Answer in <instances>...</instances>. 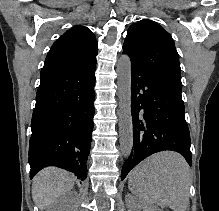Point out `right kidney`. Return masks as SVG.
I'll list each match as a JSON object with an SVG mask.
<instances>
[{
  "label": "right kidney",
  "instance_id": "ca27d5eb",
  "mask_svg": "<svg viewBox=\"0 0 219 211\" xmlns=\"http://www.w3.org/2000/svg\"><path fill=\"white\" fill-rule=\"evenodd\" d=\"M69 197L67 195H61L58 199H55L51 205H49L47 211H67V203Z\"/></svg>",
  "mask_w": 219,
  "mask_h": 211
}]
</instances>
